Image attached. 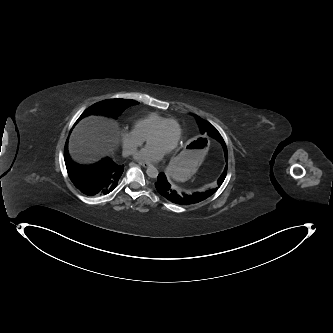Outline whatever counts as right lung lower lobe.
I'll return each mask as SVG.
<instances>
[{
	"mask_svg": "<svg viewBox=\"0 0 333 333\" xmlns=\"http://www.w3.org/2000/svg\"><path fill=\"white\" fill-rule=\"evenodd\" d=\"M64 158L71 181L76 188L88 196L110 193L117 186L124 171V165H120L110 158L102 159L90 166L78 165L70 159L67 146Z\"/></svg>",
	"mask_w": 333,
	"mask_h": 333,
	"instance_id": "obj_1",
	"label": "right lung lower lobe"
}]
</instances>
